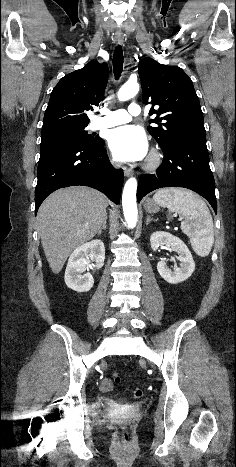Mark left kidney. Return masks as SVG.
<instances>
[{
  "instance_id": "1",
  "label": "left kidney",
  "mask_w": 236,
  "mask_h": 467,
  "mask_svg": "<svg viewBox=\"0 0 236 467\" xmlns=\"http://www.w3.org/2000/svg\"><path fill=\"white\" fill-rule=\"evenodd\" d=\"M150 243L153 251H156L163 245H167L178 253L177 260L180 261V267L170 269L164 259H161L157 264V270L165 281L171 284H178L192 275L195 269V262L190 250L182 240L168 232H155L150 237Z\"/></svg>"
}]
</instances>
